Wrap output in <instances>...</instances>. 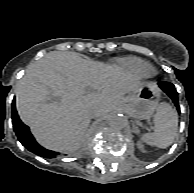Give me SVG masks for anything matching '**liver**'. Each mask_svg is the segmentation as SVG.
<instances>
[{
    "label": "liver",
    "instance_id": "liver-1",
    "mask_svg": "<svg viewBox=\"0 0 194 193\" xmlns=\"http://www.w3.org/2000/svg\"><path fill=\"white\" fill-rule=\"evenodd\" d=\"M141 85L119 67L52 51L29 65L18 82L16 107L42 146L69 152L80 145L91 118L120 108Z\"/></svg>",
    "mask_w": 194,
    "mask_h": 193
}]
</instances>
